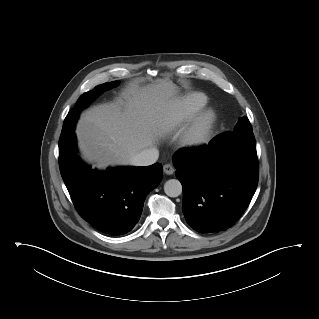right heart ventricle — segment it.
<instances>
[{
    "mask_svg": "<svg viewBox=\"0 0 319 319\" xmlns=\"http://www.w3.org/2000/svg\"><path fill=\"white\" fill-rule=\"evenodd\" d=\"M207 96L203 93H191L179 100L163 119L160 127L166 133H173L187 124L207 105Z\"/></svg>",
    "mask_w": 319,
    "mask_h": 319,
    "instance_id": "obj_1",
    "label": "right heart ventricle"
}]
</instances>
